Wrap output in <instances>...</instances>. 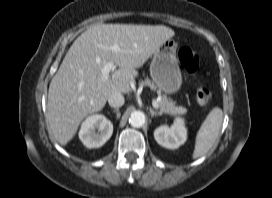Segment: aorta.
I'll return each instance as SVG.
<instances>
[{"label": "aorta", "instance_id": "762f6f07", "mask_svg": "<svg viewBox=\"0 0 272 198\" xmlns=\"http://www.w3.org/2000/svg\"><path fill=\"white\" fill-rule=\"evenodd\" d=\"M129 122L131 126L135 128H140L144 125L145 123V115L141 111H134L131 113Z\"/></svg>", "mask_w": 272, "mask_h": 198}]
</instances>
